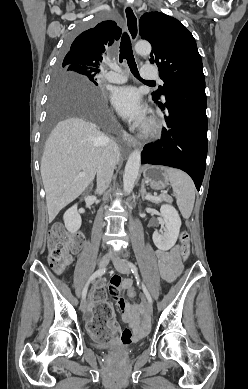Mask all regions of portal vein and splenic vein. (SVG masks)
I'll return each instance as SVG.
<instances>
[{"label":"portal vein and splenic vein","mask_w":248,"mask_h":389,"mask_svg":"<svg viewBox=\"0 0 248 389\" xmlns=\"http://www.w3.org/2000/svg\"><path fill=\"white\" fill-rule=\"evenodd\" d=\"M86 174L84 172H80L78 174L79 177H84ZM149 199H152V200H160L162 198V196H148Z\"/></svg>","instance_id":"obj_1"}]
</instances>
